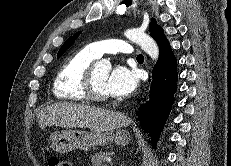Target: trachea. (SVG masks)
<instances>
[{
	"mask_svg": "<svg viewBox=\"0 0 231 166\" xmlns=\"http://www.w3.org/2000/svg\"><path fill=\"white\" fill-rule=\"evenodd\" d=\"M137 60H138V61L144 60V56H143L142 54H139V55L137 56Z\"/></svg>",
	"mask_w": 231,
	"mask_h": 166,
	"instance_id": "obj_1",
	"label": "trachea"
}]
</instances>
